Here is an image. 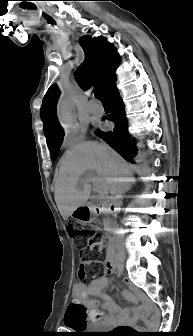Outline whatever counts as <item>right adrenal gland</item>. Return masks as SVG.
I'll use <instances>...</instances> for the list:
<instances>
[{
	"mask_svg": "<svg viewBox=\"0 0 193 336\" xmlns=\"http://www.w3.org/2000/svg\"><path fill=\"white\" fill-rule=\"evenodd\" d=\"M134 182H135V181H133L132 184H133ZM129 189H130V186H128V187L125 189V191H126V190H129ZM123 192H124V191H123Z\"/></svg>",
	"mask_w": 193,
	"mask_h": 336,
	"instance_id": "obj_1",
	"label": "right adrenal gland"
}]
</instances>
